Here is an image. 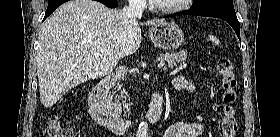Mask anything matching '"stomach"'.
I'll return each mask as SVG.
<instances>
[{
  "mask_svg": "<svg viewBox=\"0 0 280 137\" xmlns=\"http://www.w3.org/2000/svg\"><path fill=\"white\" fill-rule=\"evenodd\" d=\"M149 37L156 47L164 51L175 50L183 43V32L174 22H163L149 29Z\"/></svg>",
  "mask_w": 280,
  "mask_h": 137,
  "instance_id": "obj_1",
  "label": "stomach"
}]
</instances>
